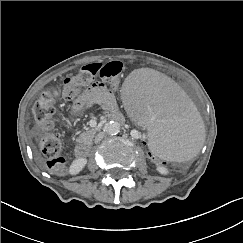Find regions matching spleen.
Returning a JSON list of instances; mask_svg holds the SVG:
<instances>
[{
    "label": "spleen",
    "instance_id": "spleen-1",
    "mask_svg": "<svg viewBox=\"0 0 243 243\" xmlns=\"http://www.w3.org/2000/svg\"><path fill=\"white\" fill-rule=\"evenodd\" d=\"M122 96L153 150L173 163L191 160L204 140V125L182 86L149 69L131 72Z\"/></svg>",
    "mask_w": 243,
    "mask_h": 243
}]
</instances>
